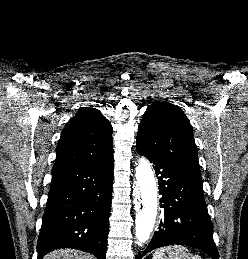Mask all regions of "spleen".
Wrapping results in <instances>:
<instances>
[{
  "instance_id": "obj_1",
  "label": "spleen",
  "mask_w": 248,
  "mask_h": 259,
  "mask_svg": "<svg viewBox=\"0 0 248 259\" xmlns=\"http://www.w3.org/2000/svg\"><path fill=\"white\" fill-rule=\"evenodd\" d=\"M172 248L178 251L188 252V249L183 246L176 245V246H173ZM165 253H166L165 248L156 250L155 253L153 254L152 259H166ZM189 259H202V258L199 255H190Z\"/></svg>"
}]
</instances>
